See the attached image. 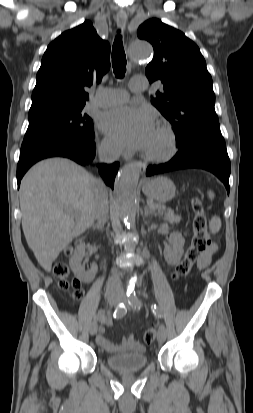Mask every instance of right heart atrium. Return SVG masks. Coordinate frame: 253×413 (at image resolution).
<instances>
[{
  "mask_svg": "<svg viewBox=\"0 0 253 413\" xmlns=\"http://www.w3.org/2000/svg\"><path fill=\"white\" fill-rule=\"evenodd\" d=\"M99 152L106 158H112L121 153V147L113 139L105 137L99 144Z\"/></svg>",
  "mask_w": 253,
  "mask_h": 413,
  "instance_id": "1",
  "label": "right heart atrium"
}]
</instances>
